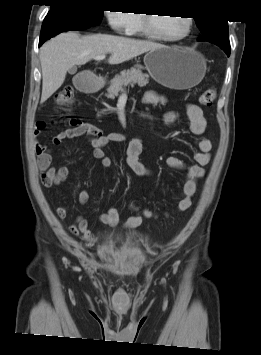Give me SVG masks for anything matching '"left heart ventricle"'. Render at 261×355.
<instances>
[{
  "label": "left heart ventricle",
  "instance_id": "b2bd125f",
  "mask_svg": "<svg viewBox=\"0 0 261 355\" xmlns=\"http://www.w3.org/2000/svg\"><path fill=\"white\" fill-rule=\"evenodd\" d=\"M154 29L168 37H177L183 34L187 28L184 17H166L152 15Z\"/></svg>",
  "mask_w": 261,
  "mask_h": 355
}]
</instances>
